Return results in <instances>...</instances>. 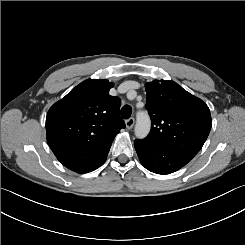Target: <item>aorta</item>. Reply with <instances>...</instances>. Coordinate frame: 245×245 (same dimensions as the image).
Listing matches in <instances>:
<instances>
[{"instance_id": "obj_1", "label": "aorta", "mask_w": 245, "mask_h": 245, "mask_svg": "<svg viewBox=\"0 0 245 245\" xmlns=\"http://www.w3.org/2000/svg\"><path fill=\"white\" fill-rule=\"evenodd\" d=\"M150 118L147 113L137 114V123L135 126V135L138 138H144L150 130Z\"/></svg>"}]
</instances>
